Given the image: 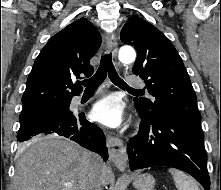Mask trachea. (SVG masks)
Listing matches in <instances>:
<instances>
[{"label":"trachea","mask_w":221,"mask_h":190,"mask_svg":"<svg viewBox=\"0 0 221 190\" xmlns=\"http://www.w3.org/2000/svg\"><path fill=\"white\" fill-rule=\"evenodd\" d=\"M118 87L128 89V90H133V91H138L141 92V90H136L134 88L129 87L117 74L113 63H112V58H111V53L110 54H105L102 56L100 65L96 73L89 79L84 80L81 82L82 85L86 87V90L90 89H96L107 77Z\"/></svg>","instance_id":"1"}]
</instances>
